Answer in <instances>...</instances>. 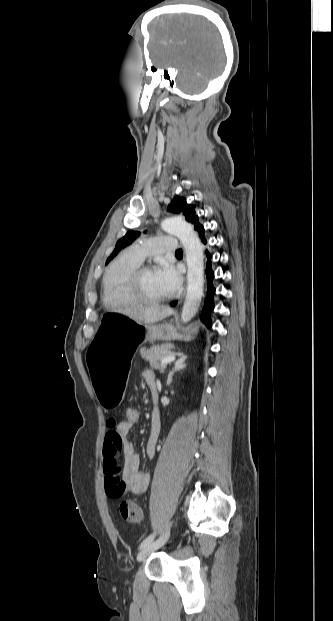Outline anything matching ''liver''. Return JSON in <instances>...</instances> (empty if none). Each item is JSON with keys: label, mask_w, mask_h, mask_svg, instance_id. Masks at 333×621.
Instances as JSON below:
<instances>
[{"label": "liver", "mask_w": 333, "mask_h": 621, "mask_svg": "<svg viewBox=\"0 0 333 621\" xmlns=\"http://www.w3.org/2000/svg\"><path fill=\"white\" fill-rule=\"evenodd\" d=\"M130 319L144 324H153L163 320L173 313V310L166 306H152L144 309H129L123 312Z\"/></svg>", "instance_id": "1"}]
</instances>
